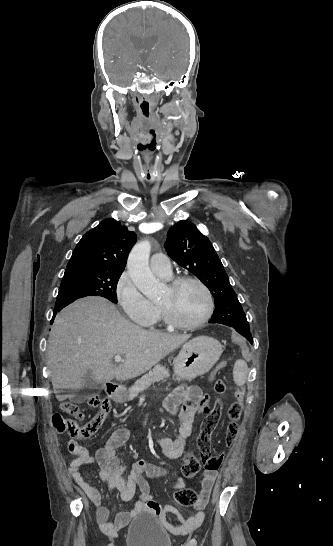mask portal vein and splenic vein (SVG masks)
Listing matches in <instances>:
<instances>
[{"instance_id": "obj_1", "label": "portal vein and splenic vein", "mask_w": 333, "mask_h": 546, "mask_svg": "<svg viewBox=\"0 0 333 546\" xmlns=\"http://www.w3.org/2000/svg\"><path fill=\"white\" fill-rule=\"evenodd\" d=\"M114 361H115L116 363H120V362L123 361V359H122V357H121L120 355H116V356H114Z\"/></svg>"}]
</instances>
